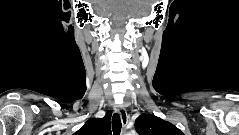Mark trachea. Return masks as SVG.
Segmentation results:
<instances>
[{
  "label": "trachea",
  "instance_id": "obj_1",
  "mask_svg": "<svg viewBox=\"0 0 239 135\" xmlns=\"http://www.w3.org/2000/svg\"><path fill=\"white\" fill-rule=\"evenodd\" d=\"M112 130L114 135H119L121 130V119L119 114L115 113L112 117Z\"/></svg>",
  "mask_w": 239,
  "mask_h": 135
}]
</instances>
